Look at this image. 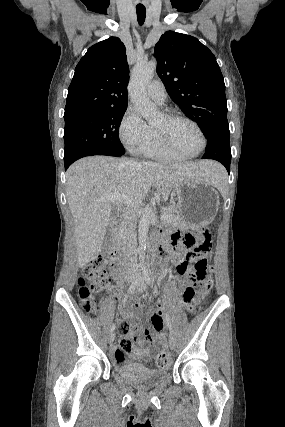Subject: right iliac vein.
I'll return each mask as SVG.
<instances>
[{
  "mask_svg": "<svg viewBox=\"0 0 285 427\" xmlns=\"http://www.w3.org/2000/svg\"><path fill=\"white\" fill-rule=\"evenodd\" d=\"M115 339V333L114 332H110L109 336H108V341L111 344Z\"/></svg>",
  "mask_w": 285,
  "mask_h": 427,
  "instance_id": "obj_1",
  "label": "right iliac vein"
}]
</instances>
